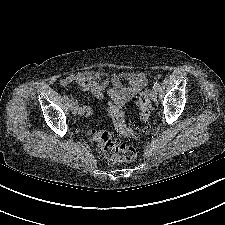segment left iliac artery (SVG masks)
Listing matches in <instances>:
<instances>
[{
	"mask_svg": "<svg viewBox=\"0 0 225 225\" xmlns=\"http://www.w3.org/2000/svg\"><path fill=\"white\" fill-rule=\"evenodd\" d=\"M159 87H160V84H159L158 81H156V82L154 83L153 88H154L155 90H159Z\"/></svg>",
	"mask_w": 225,
	"mask_h": 225,
	"instance_id": "1",
	"label": "left iliac artery"
}]
</instances>
